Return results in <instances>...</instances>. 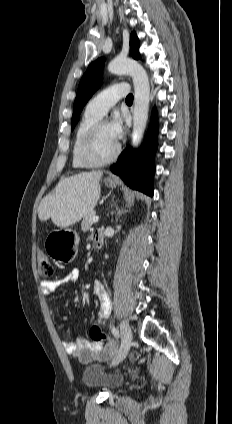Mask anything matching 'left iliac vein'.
<instances>
[{
	"label": "left iliac vein",
	"instance_id": "obj_1",
	"mask_svg": "<svg viewBox=\"0 0 232 424\" xmlns=\"http://www.w3.org/2000/svg\"><path fill=\"white\" fill-rule=\"evenodd\" d=\"M120 333H121L122 344H121L118 355L116 356L115 360L112 363L113 365H117L121 361H123L131 347L132 331L127 321L121 322Z\"/></svg>",
	"mask_w": 232,
	"mask_h": 424
}]
</instances>
